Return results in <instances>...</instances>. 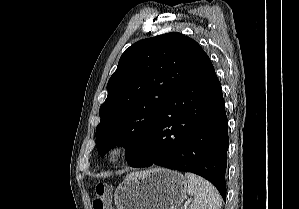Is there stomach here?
<instances>
[{"mask_svg": "<svg viewBox=\"0 0 299 209\" xmlns=\"http://www.w3.org/2000/svg\"><path fill=\"white\" fill-rule=\"evenodd\" d=\"M183 174L165 168L131 173L116 188L117 209H177L186 197Z\"/></svg>", "mask_w": 299, "mask_h": 209, "instance_id": "0dacf381", "label": "stomach"}]
</instances>
